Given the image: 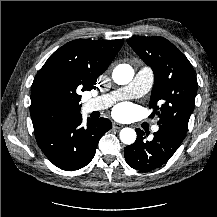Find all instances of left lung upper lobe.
I'll return each instance as SVG.
<instances>
[{"mask_svg": "<svg viewBox=\"0 0 217 217\" xmlns=\"http://www.w3.org/2000/svg\"><path fill=\"white\" fill-rule=\"evenodd\" d=\"M127 42L154 73L150 117L157 115L158 125H169L186 133L198 87L191 63L163 37H135Z\"/></svg>", "mask_w": 217, "mask_h": 217, "instance_id": "obj_1", "label": "left lung upper lobe"}]
</instances>
